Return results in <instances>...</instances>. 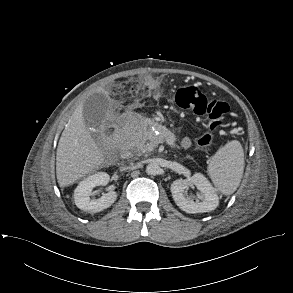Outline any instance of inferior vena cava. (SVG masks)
<instances>
[{
    "instance_id": "602c4592",
    "label": "inferior vena cava",
    "mask_w": 293,
    "mask_h": 293,
    "mask_svg": "<svg viewBox=\"0 0 293 293\" xmlns=\"http://www.w3.org/2000/svg\"><path fill=\"white\" fill-rule=\"evenodd\" d=\"M128 167H121V171L127 170Z\"/></svg>"
}]
</instances>
